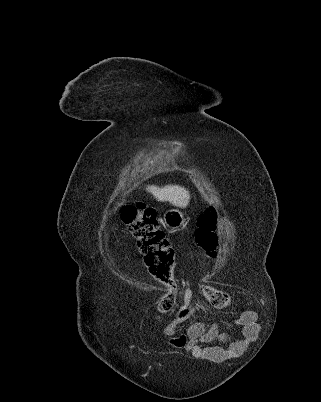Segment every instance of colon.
<instances>
[{
  "label": "colon",
  "instance_id": "5ec220e1",
  "mask_svg": "<svg viewBox=\"0 0 321 402\" xmlns=\"http://www.w3.org/2000/svg\"><path fill=\"white\" fill-rule=\"evenodd\" d=\"M121 218L135 238L148 272L160 282L161 288L168 289L158 300V311L161 314L171 312L177 301L173 278L174 249L159 226L156 210L143 204L127 205L122 209ZM217 223V212L215 208H210L199 215L195 230L197 246L211 258L217 255ZM199 293L206 296L214 308L225 309L230 306L231 297L223 290L202 283Z\"/></svg>",
  "mask_w": 321,
  "mask_h": 402
}]
</instances>
